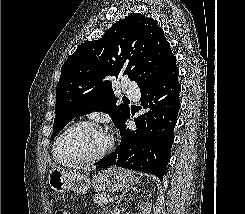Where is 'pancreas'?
<instances>
[{"instance_id": "1", "label": "pancreas", "mask_w": 245, "mask_h": 214, "mask_svg": "<svg viewBox=\"0 0 245 214\" xmlns=\"http://www.w3.org/2000/svg\"><path fill=\"white\" fill-rule=\"evenodd\" d=\"M108 197L106 192H97L93 197V201L97 205H106L108 203Z\"/></svg>"}]
</instances>
